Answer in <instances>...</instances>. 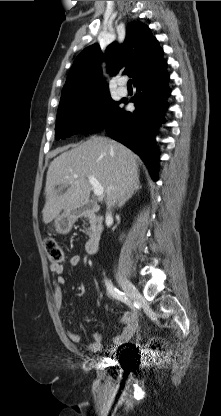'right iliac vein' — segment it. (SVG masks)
Returning <instances> with one entry per match:
<instances>
[{"instance_id":"obj_1","label":"right iliac vein","mask_w":221,"mask_h":416,"mask_svg":"<svg viewBox=\"0 0 221 416\" xmlns=\"http://www.w3.org/2000/svg\"><path fill=\"white\" fill-rule=\"evenodd\" d=\"M117 279L124 292L130 298H136L139 295L137 288L122 274H117Z\"/></svg>"}]
</instances>
